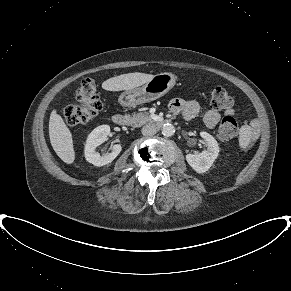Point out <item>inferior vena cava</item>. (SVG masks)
Returning <instances> with one entry per match:
<instances>
[{
	"label": "inferior vena cava",
	"mask_w": 291,
	"mask_h": 291,
	"mask_svg": "<svg viewBox=\"0 0 291 291\" xmlns=\"http://www.w3.org/2000/svg\"><path fill=\"white\" fill-rule=\"evenodd\" d=\"M141 132L143 135L151 136V135H154L156 133V128L153 124H146L141 129Z\"/></svg>",
	"instance_id": "602c4592"
}]
</instances>
